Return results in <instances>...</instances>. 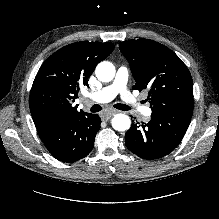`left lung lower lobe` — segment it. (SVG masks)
Returning <instances> with one entry per match:
<instances>
[{
  "mask_svg": "<svg viewBox=\"0 0 219 219\" xmlns=\"http://www.w3.org/2000/svg\"><path fill=\"white\" fill-rule=\"evenodd\" d=\"M193 110L180 113H152L147 124H133L126 132L127 148L148 160L169 154L184 137Z\"/></svg>",
  "mask_w": 219,
  "mask_h": 219,
  "instance_id": "obj_1",
  "label": "left lung lower lobe"
}]
</instances>
